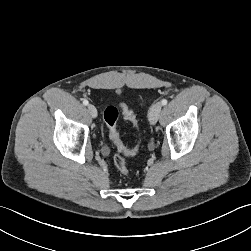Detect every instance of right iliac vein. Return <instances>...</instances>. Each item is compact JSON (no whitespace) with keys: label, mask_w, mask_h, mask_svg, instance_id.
<instances>
[{"label":"right iliac vein","mask_w":251,"mask_h":251,"mask_svg":"<svg viewBox=\"0 0 251 251\" xmlns=\"http://www.w3.org/2000/svg\"><path fill=\"white\" fill-rule=\"evenodd\" d=\"M88 111L90 113V115L93 117V118H96L97 117V109L94 105L92 104H89L88 105Z\"/></svg>","instance_id":"1"}]
</instances>
